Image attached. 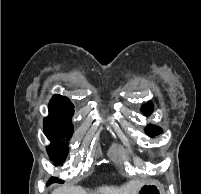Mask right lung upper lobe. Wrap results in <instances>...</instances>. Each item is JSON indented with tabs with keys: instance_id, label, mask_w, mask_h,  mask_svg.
Wrapping results in <instances>:
<instances>
[{
	"instance_id": "1",
	"label": "right lung upper lobe",
	"mask_w": 201,
	"mask_h": 194,
	"mask_svg": "<svg viewBox=\"0 0 201 194\" xmlns=\"http://www.w3.org/2000/svg\"><path fill=\"white\" fill-rule=\"evenodd\" d=\"M49 109H54L61 111L68 115L70 118L72 117L74 113V105L71 103V101L64 96L61 95H55L50 103H49Z\"/></svg>"
}]
</instances>
